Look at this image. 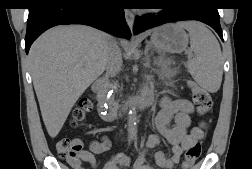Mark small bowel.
Returning a JSON list of instances; mask_svg holds the SVG:
<instances>
[{"label": "small bowel", "instance_id": "small-bowel-1", "mask_svg": "<svg viewBox=\"0 0 252 169\" xmlns=\"http://www.w3.org/2000/svg\"><path fill=\"white\" fill-rule=\"evenodd\" d=\"M143 96H151V92L145 91ZM193 110L192 104L186 99L165 97L161 101V108L155 119L159 134L150 135L145 147L140 151L134 162V169H154L145 163V156L149 149L159 144L160 136H163L173 146L171 156L163 152L156 154L157 163L164 168L172 167L179 161L180 156L187 148L198 143L203 138V125L198 124L191 127V114ZM172 120H174L175 124L170 128L169 124ZM110 147V139L107 136H103L100 140L91 141L89 151L81 150L79 154L80 159L93 167L95 165L94 154L105 152ZM130 164L131 160L128 156L118 153L102 169H120Z\"/></svg>", "mask_w": 252, "mask_h": 169}]
</instances>
